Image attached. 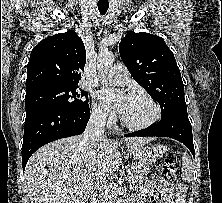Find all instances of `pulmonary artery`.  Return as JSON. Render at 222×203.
<instances>
[{"label": "pulmonary artery", "instance_id": "e3ab8cb5", "mask_svg": "<svg viewBox=\"0 0 222 203\" xmlns=\"http://www.w3.org/2000/svg\"><path fill=\"white\" fill-rule=\"evenodd\" d=\"M106 78L114 84L122 85L128 81V71L123 64H115L108 71Z\"/></svg>", "mask_w": 222, "mask_h": 203}]
</instances>
